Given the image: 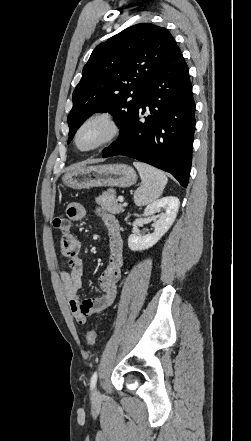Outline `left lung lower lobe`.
<instances>
[{"instance_id":"obj_1","label":"left lung lower lobe","mask_w":251,"mask_h":441,"mask_svg":"<svg viewBox=\"0 0 251 441\" xmlns=\"http://www.w3.org/2000/svg\"><path fill=\"white\" fill-rule=\"evenodd\" d=\"M146 97L102 157L124 155L171 173L188 185L195 131L189 70L177 46L146 86ZM146 107H149V115Z\"/></svg>"}]
</instances>
